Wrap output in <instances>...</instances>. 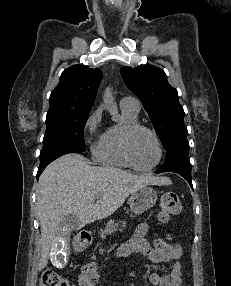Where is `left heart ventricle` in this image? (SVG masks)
Masks as SVG:
<instances>
[{
    "label": "left heart ventricle",
    "mask_w": 231,
    "mask_h": 286,
    "mask_svg": "<svg viewBox=\"0 0 231 286\" xmlns=\"http://www.w3.org/2000/svg\"><path fill=\"white\" fill-rule=\"evenodd\" d=\"M131 152L136 164L143 168L150 167L158 158L156 142L147 131H139L134 135Z\"/></svg>",
    "instance_id": "b2bd125f"
}]
</instances>
